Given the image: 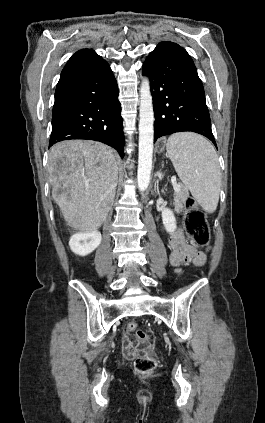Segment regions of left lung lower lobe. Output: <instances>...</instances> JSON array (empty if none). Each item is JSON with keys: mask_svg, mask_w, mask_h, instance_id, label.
Listing matches in <instances>:
<instances>
[{"mask_svg": "<svg viewBox=\"0 0 265 423\" xmlns=\"http://www.w3.org/2000/svg\"><path fill=\"white\" fill-rule=\"evenodd\" d=\"M150 79L155 114L154 142L161 136L191 131L216 146L202 82L193 60L176 43L161 42L143 64Z\"/></svg>", "mask_w": 265, "mask_h": 423, "instance_id": "0a47b994", "label": "left lung lower lobe"}]
</instances>
